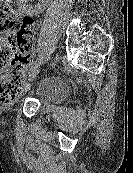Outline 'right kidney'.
I'll return each mask as SVG.
<instances>
[{"label":"right kidney","mask_w":133,"mask_h":173,"mask_svg":"<svg viewBox=\"0 0 133 173\" xmlns=\"http://www.w3.org/2000/svg\"><path fill=\"white\" fill-rule=\"evenodd\" d=\"M17 1H19L20 8H22L23 10L32 11L33 7L27 4L30 0H17ZM41 1L44 2V0Z\"/></svg>","instance_id":"obj_1"}]
</instances>
